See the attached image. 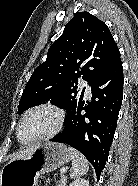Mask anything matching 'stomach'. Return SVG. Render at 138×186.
<instances>
[{"instance_id":"stomach-1","label":"stomach","mask_w":138,"mask_h":186,"mask_svg":"<svg viewBox=\"0 0 138 186\" xmlns=\"http://www.w3.org/2000/svg\"><path fill=\"white\" fill-rule=\"evenodd\" d=\"M71 160L68 148L61 143L39 145L29 155L13 158L0 173V186H36L38 177Z\"/></svg>"}]
</instances>
